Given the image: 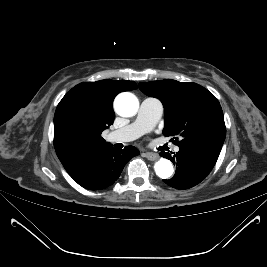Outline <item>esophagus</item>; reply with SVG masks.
<instances>
[{"instance_id":"esophagus-1","label":"esophagus","mask_w":267,"mask_h":267,"mask_svg":"<svg viewBox=\"0 0 267 267\" xmlns=\"http://www.w3.org/2000/svg\"><path fill=\"white\" fill-rule=\"evenodd\" d=\"M146 158H148L151 161H155L159 159V155L156 153L146 152L145 153Z\"/></svg>"}]
</instances>
